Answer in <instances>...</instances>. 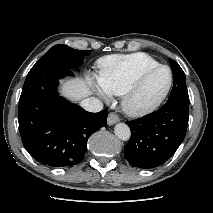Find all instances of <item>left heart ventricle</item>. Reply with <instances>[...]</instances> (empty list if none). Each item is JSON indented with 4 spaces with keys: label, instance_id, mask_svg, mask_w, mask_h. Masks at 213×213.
Instances as JSON below:
<instances>
[{
    "label": "left heart ventricle",
    "instance_id": "b2bd125f",
    "mask_svg": "<svg viewBox=\"0 0 213 213\" xmlns=\"http://www.w3.org/2000/svg\"><path fill=\"white\" fill-rule=\"evenodd\" d=\"M168 82L169 72L166 69L157 70L144 82L134 98V103L142 105L154 100L165 90Z\"/></svg>",
    "mask_w": 213,
    "mask_h": 213
}]
</instances>
